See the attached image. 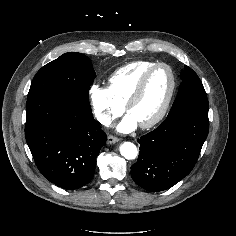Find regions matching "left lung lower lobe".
Instances as JSON below:
<instances>
[{"mask_svg": "<svg viewBox=\"0 0 236 236\" xmlns=\"http://www.w3.org/2000/svg\"><path fill=\"white\" fill-rule=\"evenodd\" d=\"M208 131L207 114L184 112L167 117L138 140V160L131 166L135 183L150 192L178 183L196 164Z\"/></svg>", "mask_w": 236, "mask_h": 236, "instance_id": "0a47b994", "label": "left lung lower lobe"}]
</instances>
